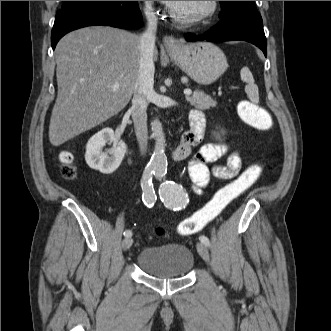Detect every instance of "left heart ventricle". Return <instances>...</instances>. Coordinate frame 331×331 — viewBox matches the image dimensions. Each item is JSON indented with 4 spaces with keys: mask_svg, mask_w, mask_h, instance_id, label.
<instances>
[{
    "mask_svg": "<svg viewBox=\"0 0 331 331\" xmlns=\"http://www.w3.org/2000/svg\"><path fill=\"white\" fill-rule=\"evenodd\" d=\"M207 1H177L173 6V10L183 16H191L199 13L206 7Z\"/></svg>",
    "mask_w": 331,
    "mask_h": 331,
    "instance_id": "left-heart-ventricle-1",
    "label": "left heart ventricle"
}]
</instances>
